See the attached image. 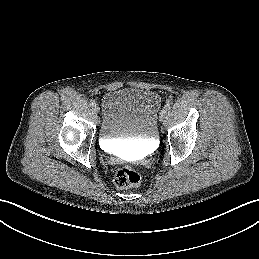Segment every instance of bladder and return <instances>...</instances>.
<instances>
[{
	"label": "bladder",
	"mask_w": 259,
	"mask_h": 259,
	"mask_svg": "<svg viewBox=\"0 0 259 259\" xmlns=\"http://www.w3.org/2000/svg\"><path fill=\"white\" fill-rule=\"evenodd\" d=\"M160 105V96L149 89L122 88L106 93L102 99L100 139L148 145L157 136Z\"/></svg>",
	"instance_id": "obj_1"
}]
</instances>
